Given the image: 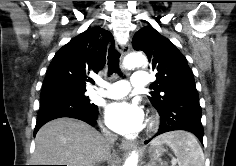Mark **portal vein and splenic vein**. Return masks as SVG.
Here are the masks:
<instances>
[{
  "instance_id": "18ae733b",
  "label": "portal vein and splenic vein",
  "mask_w": 236,
  "mask_h": 166,
  "mask_svg": "<svg viewBox=\"0 0 236 166\" xmlns=\"http://www.w3.org/2000/svg\"><path fill=\"white\" fill-rule=\"evenodd\" d=\"M176 163H177L176 160L173 159V160H172V165L174 166V165H176Z\"/></svg>"
}]
</instances>
